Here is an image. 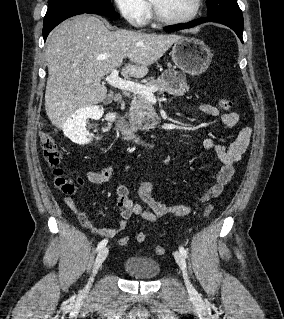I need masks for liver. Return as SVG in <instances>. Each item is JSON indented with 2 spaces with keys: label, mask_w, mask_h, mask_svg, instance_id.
Masks as SVG:
<instances>
[{
  "label": "liver",
  "mask_w": 284,
  "mask_h": 319,
  "mask_svg": "<svg viewBox=\"0 0 284 319\" xmlns=\"http://www.w3.org/2000/svg\"><path fill=\"white\" fill-rule=\"evenodd\" d=\"M182 36L110 31L96 16L79 15L50 34L45 56L48 79L45 109L53 125L62 128L78 109L102 102L107 89L101 79L123 64L124 77L142 78L148 66Z\"/></svg>",
  "instance_id": "1"
}]
</instances>
